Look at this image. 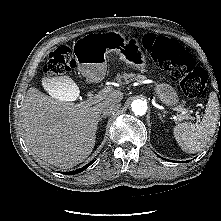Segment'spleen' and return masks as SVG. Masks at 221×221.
<instances>
[{
    "mask_svg": "<svg viewBox=\"0 0 221 221\" xmlns=\"http://www.w3.org/2000/svg\"><path fill=\"white\" fill-rule=\"evenodd\" d=\"M219 122V104L215 93L210 98L201 122H183L174 127V137L181 149L196 153L207 145L213 137Z\"/></svg>",
    "mask_w": 221,
    "mask_h": 221,
    "instance_id": "3e777b00",
    "label": "spleen"
}]
</instances>
